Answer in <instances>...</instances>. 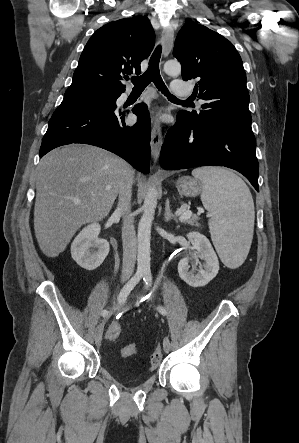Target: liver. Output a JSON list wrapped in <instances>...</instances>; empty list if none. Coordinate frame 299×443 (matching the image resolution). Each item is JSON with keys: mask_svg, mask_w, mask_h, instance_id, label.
<instances>
[{"mask_svg": "<svg viewBox=\"0 0 299 443\" xmlns=\"http://www.w3.org/2000/svg\"><path fill=\"white\" fill-rule=\"evenodd\" d=\"M133 177L126 161L101 148L73 144L46 154L38 167L34 207L41 251L48 257L62 253L83 224L109 214L123 182Z\"/></svg>", "mask_w": 299, "mask_h": 443, "instance_id": "1", "label": "liver"}]
</instances>
